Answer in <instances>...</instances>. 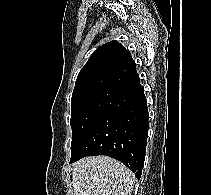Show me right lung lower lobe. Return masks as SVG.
Listing matches in <instances>:
<instances>
[{"instance_id": "obj_1", "label": "right lung lower lobe", "mask_w": 211, "mask_h": 195, "mask_svg": "<svg viewBox=\"0 0 211 195\" xmlns=\"http://www.w3.org/2000/svg\"><path fill=\"white\" fill-rule=\"evenodd\" d=\"M148 118L140 81L118 88L71 153L70 163L85 156L107 155L121 161L139 180L145 160Z\"/></svg>"}]
</instances>
